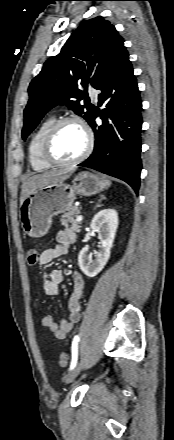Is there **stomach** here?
I'll use <instances>...</instances> for the list:
<instances>
[{"mask_svg": "<svg viewBox=\"0 0 174 440\" xmlns=\"http://www.w3.org/2000/svg\"><path fill=\"white\" fill-rule=\"evenodd\" d=\"M111 182L106 177L83 171L71 184L60 181L36 189L20 206L19 217L23 231L30 237L44 236L53 216L72 208L76 195L91 196L107 189Z\"/></svg>", "mask_w": 174, "mask_h": 440, "instance_id": "1", "label": "stomach"}]
</instances>
